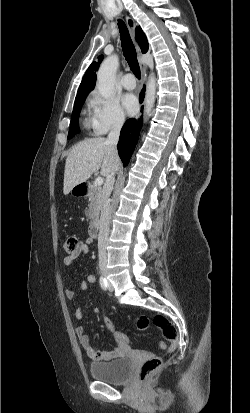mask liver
Instances as JSON below:
<instances>
[{
    "mask_svg": "<svg viewBox=\"0 0 250 413\" xmlns=\"http://www.w3.org/2000/svg\"><path fill=\"white\" fill-rule=\"evenodd\" d=\"M119 167L120 159L113 154L105 138L96 137L79 142L66 159L63 193L69 194L73 187L86 182L100 168V174L107 178Z\"/></svg>",
    "mask_w": 250,
    "mask_h": 413,
    "instance_id": "6515ba94",
    "label": "liver"
}]
</instances>
